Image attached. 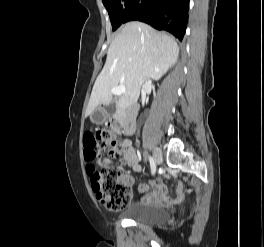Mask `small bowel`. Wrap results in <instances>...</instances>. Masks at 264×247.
<instances>
[{"instance_id": "c3829d8e", "label": "small bowel", "mask_w": 264, "mask_h": 247, "mask_svg": "<svg viewBox=\"0 0 264 247\" xmlns=\"http://www.w3.org/2000/svg\"><path fill=\"white\" fill-rule=\"evenodd\" d=\"M124 147V158L126 162L128 165L138 170L139 166L133 149L130 147L128 142H125ZM126 179L128 183L133 182V179L130 176H127ZM140 192L144 193L142 200L145 202L161 201L164 203H170L174 200V198L170 196L165 184L160 180H156L152 183L151 191L148 190L147 186H141Z\"/></svg>"}]
</instances>
